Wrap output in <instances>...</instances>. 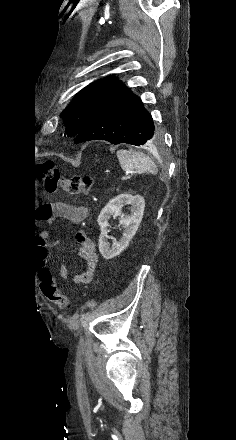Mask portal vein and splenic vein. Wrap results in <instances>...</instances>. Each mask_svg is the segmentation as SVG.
<instances>
[{"mask_svg":"<svg viewBox=\"0 0 236 440\" xmlns=\"http://www.w3.org/2000/svg\"><path fill=\"white\" fill-rule=\"evenodd\" d=\"M126 178H127V176H124V177H122L121 179L124 180V179H126Z\"/></svg>","mask_w":236,"mask_h":440,"instance_id":"portal-vein-and-splenic-vein-1","label":"portal vein and splenic vein"}]
</instances>
